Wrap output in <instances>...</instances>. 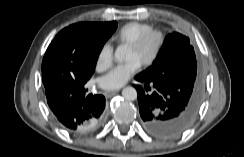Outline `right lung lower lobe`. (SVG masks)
<instances>
[{
  "label": "right lung lower lobe",
  "instance_id": "98d812e1",
  "mask_svg": "<svg viewBox=\"0 0 244 157\" xmlns=\"http://www.w3.org/2000/svg\"><path fill=\"white\" fill-rule=\"evenodd\" d=\"M46 97L58 124L71 133L90 132L104 120V96L86 94L83 83L52 88Z\"/></svg>",
  "mask_w": 244,
  "mask_h": 157
}]
</instances>
